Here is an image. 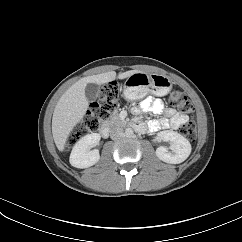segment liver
Listing matches in <instances>:
<instances>
[{"label":"liver","mask_w":242,"mask_h":242,"mask_svg":"<svg viewBox=\"0 0 242 242\" xmlns=\"http://www.w3.org/2000/svg\"><path fill=\"white\" fill-rule=\"evenodd\" d=\"M136 72L139 71H126L124 73H120L118 78L125 79ZM115 78V71L84 77L73 84L61 96L57 102L52 117V134L56 147L59 151L64 150L66 140L70 132L76 124L81 121L88 109V101L85 95V88L87 84L94 83L102 85L113 81Z\"/></svg>","instance_id":"liver-1"}]
</instances>
